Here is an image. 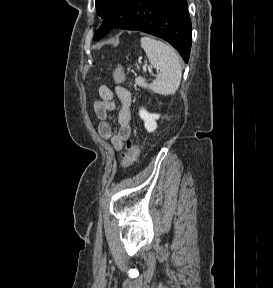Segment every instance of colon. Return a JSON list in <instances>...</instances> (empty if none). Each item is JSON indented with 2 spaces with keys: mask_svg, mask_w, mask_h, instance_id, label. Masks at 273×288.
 <instances>
[{
  "mask_svg": "<svg viewBox=\"0 0 273 288\" xmlns=\"http://www.w3.org/2000/svg\"><path fill=\"white\" fill-rule=\"evenodd\" d=\"M125 74L121 66L116 67L113 79L116 83H122L124 81ZM139 154V145L133 141H128L125 146L120 160V166L122 169L129 168L136 160Z\"/></svg>",
  "mask_w": 273,
  "mask_h": 288,
  "instance_id": "obj_1",
  "label": "colon"
}]
</instances>
